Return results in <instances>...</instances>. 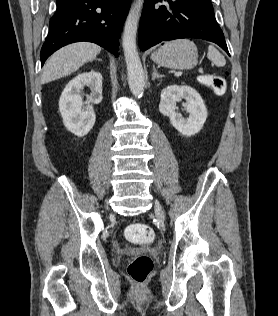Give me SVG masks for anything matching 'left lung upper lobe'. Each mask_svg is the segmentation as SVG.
I'll use <instances>...</instances> for the list:
<instances>
[{"label": "left lung upper lobe", "instance_id": "5c2ea615", "mask_svg": "<svg viewBox=\"0 0 278 316\" xmlns=\"http://www.w3.org/2000/svg\"><path fill=\"white\" fill-rule=\"evenodd\" d=\"M200 1L205 2L206 4H209L211 7H213L211 0H200Z\"/></svg>", "mask_w": 278, "mask_h": 316}]
</instances>
